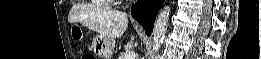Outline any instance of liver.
<instances>
[{
    "label": "liver",
    "mask_w": 261,
    "mask_h": 59,
    "mask_svg": "<svg viewBox=\"0 0 261 59\" xmlns=\"http://www.w3.org/2000/svg\"><path fill=\"white\" fill-rule=\"evenodd\" d=\"M80 21L90 30L100 36L116 39L121 37L128 26V17L125 13L116 10H101L90 12L85 16L76 17L70 15L69 22Z\"/></svg>",
    "instance_id": "obj_1"
}]
</instances>
